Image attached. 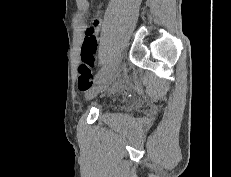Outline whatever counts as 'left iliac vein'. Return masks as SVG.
<instances>
[{"instance_id": "obj_1", "label": "left iliac vein", "mask_w": 231, "mask_h": 177, "mask_svg": "<svg viewBox=\"0 0 231 177\" xmlns=\"http://www.w3.org/2000/svg\"><path fill=\"white\" fill-rule=\"evenodd\" d=\"M121 56H116L114 62L112 63L111 67L97 80L96 86H94L87 94L86 99L91 100L93 99L114 77L117 68L120 64Z\"/></svg>"}]
</instances>
